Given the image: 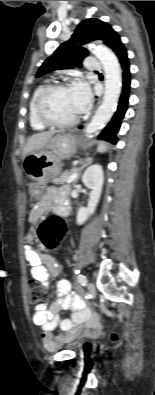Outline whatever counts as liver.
Here are the masks:
<instances>
[{
    "label": "liver",
    "mask_w": 155,
    "mask_h": 395,
    "mask_svg": "<svg viewBox=\"0 0 155 395\" xmlns=\"http://www.w3.org/2000/svg\"><path fill=\"white\" fill-rule=\"evenodd\" d=\"M55 131L41 132L33 134L24 148L23 159L31 152L44 148L51 140Z\"/></svg>",
    "instance_id": "obj_1"
}]
</instances>
